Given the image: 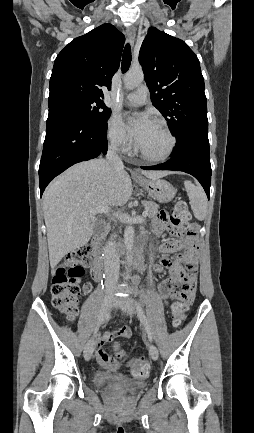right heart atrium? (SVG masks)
<instances>
[{"mask_svg":"<svg viewBox=\"0 0 254 433\" xmlns=\"http://www.w3.org/2000/svg\"><path fill=\"white\" fill-rule=\"evenodd\" d=\"M106 135L109 143L122 152H129L133 147L132 140L117 114H113L109 118Z\"/></svg>","mask_w":254,"mask_h":433,"instance_id":"1","label":"right heart atrium"}]
</instances>
